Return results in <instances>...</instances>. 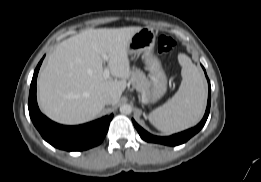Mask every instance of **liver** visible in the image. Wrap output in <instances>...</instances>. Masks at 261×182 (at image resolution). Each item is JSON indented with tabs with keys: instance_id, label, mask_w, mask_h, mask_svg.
Returning a JSON list of instances; mask_svg holds the SVG:
<instances>
[{
	"instance_id": "1",
	"label": "liver",
	"mask_w": 261,
	"mask_h": 182,
	"mask_svg": "<svg viewBox=\"0 0 261 182\" xmlns=\"http://www.w3.org/2000/svg\"><path fill=\"white\" fill-rule=\"evenodd\" d=\"M141 27L88 29L61 42L50 54L38 77L41 110L52 120L81 124L94 119L110 95L112 105L120 100L130 77L127 47ZM109 57L111 75L103 77V58Z\"/></svg>"
}]
</instances>
